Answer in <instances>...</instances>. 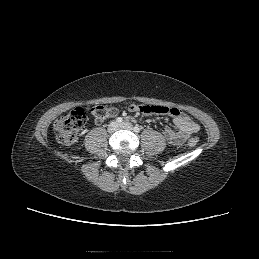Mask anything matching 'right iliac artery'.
I'll use <instances>...</instances> for the list:
<instances>
[{"instance_id": "1", "label": "right iliac artery", "mask_w": 259, "mask_h": 259, "mask_svg": "<svg viewBox=\"0 0 259 259\" xmlns=\"http://www.w3.org/2000/svg\"><path fill=\"white\" fill-rule=\"evenodd\" d=\"M122 121H123V119H122L121 117H118V118L116 119V122H117V123H122Z\"/></svg>"}]
</instances>
